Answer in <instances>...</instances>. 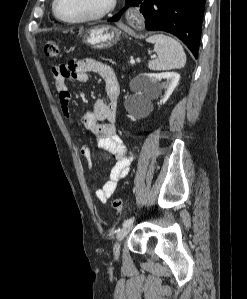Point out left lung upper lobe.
Returning a JSON list of instances; mask_svg holds the SVG:
<instances>
[{"label": "left lung upper lobe", "instance_id": "obj_1", "mask_svg": "<svg viewBox=\"0 0 247 299\" xmlns=\"http://www.w3.org/2000/svg\"><path fill=\"white\" fill-rule=\"evenodd\" d=\"M132 0H125V5H128Z\"/></svg>", "mask_w": 247, "mask_h": 299}]
</instances>
